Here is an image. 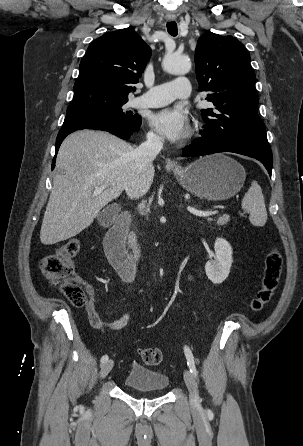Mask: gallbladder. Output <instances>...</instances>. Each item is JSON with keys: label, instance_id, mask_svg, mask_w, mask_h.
I'll return each mask as SVG.
<instances>
[{"label": "gallbladder", "instance_id": "bac80fb5", "mask_svg": "<svg viewBox=\"0 0 303 446\" xmlns=\"http://www.w3.org/2000/svg\"><path fill=\"white\" fill-rule=\"evenodd\" d=\"M105 216H106V213H105V212L101 213V214L99 215V217H98L99 221H100V222H104V221H105Z\"/></svg>", "mask_w": 303, "mask_h": 446}]
</instances>
